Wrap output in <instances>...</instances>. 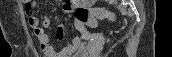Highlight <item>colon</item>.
Wrapping results in <instances>:
<instances>
[{"instance_id":"5ec220e1","label":"colon","mask_w":172,"mask_h":57,"mask_svg":"<svg viewBox=\"0 0 172 57\" xmlns=\"http://www.w3.org/2000/svg\"><path fill=\"white\" fill-rule=\"evenodd\" d=\"M76 20L89 27H96L99 19H113L114 15L103 8L77 7L74 10Z\"/></svg>"}]
</instances>
